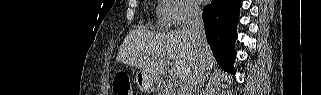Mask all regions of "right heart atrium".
Returning a JSON list of instances; mask_svg holds the SVG:
<instances>
[{
  "label": "right heart atrium",
  "mask_w": 321,
  "mask_h": 95,
  "mask_svg": "<svg viewBox=\"0 0 321 95\" xmlns=\"http://www.w3.org/2000/svg\"><path fill=\"white\" fill-rule=\"evenodd\" d=\"M159 10L166 21L176 26L189 24L200 14L198 7L191 0H162Z\"/></svg>",
  "instance_id": "d8ad5b80"
}]
</instances>
